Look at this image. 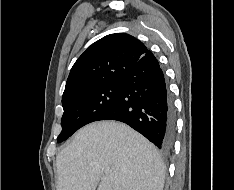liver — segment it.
I'll list each match as a JSON object with an SVG mask.
<instances>
[{"mask_svg": "<svg viewBox=\"0 0 234 190\" xmlns=\"http://www.w3.org/2000/svg\"><path fill=\"white\" fill-rule=\"evenodd\" d=\"M56 166L57 190L164 187L165 167L155 146L128 125L116 121H100L81 128L57 155Z\"/></svg>", "mask_w": 234, "mask_h": 190, "instance_id": "6515ba94", "label": "liver"}]
</instances>
